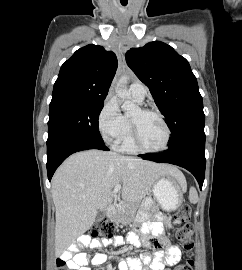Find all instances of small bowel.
<instances>
[{"label": "small bowel", "mask_w": 242, "mask_h": 270, "mask_svg": "<svg viewBox=\"0 0 242 270\" xmlns=\"http://www.w3.org/2000/svg\"><path fill=\"white\" fill-rule=\"evenodd\" d=\"M139 225L133 232L129 233L128 241L134 247H146L155 250L152 258L149 253H143L139 258L128 257L118 263L119 270H144L147 265L151 270H170L169 267L177 264L182 257V252L176 245L169 242L167 230L171 226L170 218L165 214H157L154 219H148V213L141 211L136 219ZM123 240L90 239L82 237L79 244L72 245L64 252L59 261L68 270H91L89 264L102 265L107 257L102 252H97L93 257L80 250L81 246L99 249L102 247L116 245L122 246Z\"/></svg>", "instance_id": "small-bowel-1"}]
</instances>
